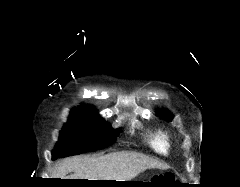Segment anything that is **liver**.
I'll return each mask as SVG.
<instances>
[{"label":"liver","instance_id":"1","mask_svg":"<svg viewBox=\"0 0 240 187\" xmlns=\"http://www.w3.org/2000/svg\"><path fill=\"white\" fill-rule=\"evenodd\" d=\"M165 169L158 160L137 152H114L100 157L73 156L58 162L52 178L130 181L141 172ZM69 172H73L68 176Z\"/></svg>","mask_w":240,"mask_h":187}]
</instances>
